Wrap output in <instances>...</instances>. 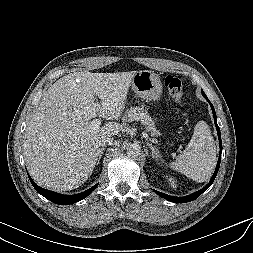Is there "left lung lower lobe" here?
Returning <instances> with one entry per match:
<instances>
[{"mask_svg": "<svg viewBox=\"0 0 253 253\" xmlns=\"http://www.w3.org/2000/svg\"><path fill=\"white\" fill-rule=\"evenodd\" d=\"M205 98L207 99L208 102H210L207 97H205ZM210 107H211L213 115H214V123L216 125L218 138H219V145H220V155H219V159H218V163H217L215 172H214L210 182L203 189H201L197 192H194L193 194H190V195L185 196V197H173V196H170V195H167V194L156 191V193L158 195H160L162 198L167 199L168 201L175 202V203H186V202H190V201L195 200L213 183V181H214V179H215V177L218 173L219 166H220V161H221V151H222L221 134H220V128L217 125L216 113H215L214 107L211 103H210Z\"/></svg>", "mask_w": 253, "mask_h": 253, "instance_id": "0a47b994", "label": "left lung lower lobe"}]
</instances>
